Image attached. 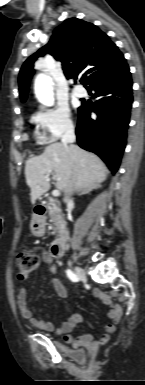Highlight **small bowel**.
Here are the masks:
<instances>
[{"label":"small bowel","instance_id":"small-bowel-1","mask_svg":"<svg viewBox=\"0 0 145 385\" xmlns=\"http://www.w3.org/2000/svg\"><path fill=\"white\" fill-rule=\"evenodd\" d=\"M41 258L45 264L49 265V272L53 276L52 285L56 294L60 298H65L67 296V289L62 281L56 277L57 266L54 263L55 257L51 254V252L43 251L41 253ZM93 296L109 307L106 317L113 322V324H108L104 327V333L99 338H95L91 333L83 334L76 338H73L70 335L73 328L83 320V315L81 313H74L69 315L59 327H56L50 321L36 318L28 306L27 289L25 287H21L19 289L16 305L23 319L41 330L54 332L57 335H63L65 343L71 344L77 351L81 347H99L107 343L115 331L114 324L120 320L122 314L121 305L119 303H113L109 295L104 294L100 290H94Z\"/></svg>","mask_w":145,"mask_h":385}]
</instances>
